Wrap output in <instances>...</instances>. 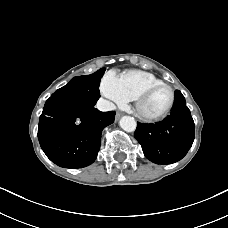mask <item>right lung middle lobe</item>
Here are the masks:
<instances>
[{"label": "right lung middle lobe", "mask_w": 228, "mask_h": 228, "mask_svg": "<svg viewBox=\"0 0 228 228\" xmlns=\"http://www.w3.org/2000/svg\"><path fill=\"white\" fill-rule=\"evenodd\" d=\"M104 72L105 68H101L91 75L74 77L50 98L67 100L82 107H92L100 97L99 84Z\"/></svg>", "instance_id": "obj_1"}]
</instances>
